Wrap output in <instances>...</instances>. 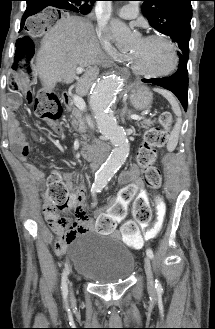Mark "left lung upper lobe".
Wrapping results in <instances>:
<instances>
[{
    "instance_id": "left-lung-upper-lobe-1",
    "label": "left lung upper lobe",
    "mask_w": 215,
    "mask_h": 329,
    "mask_svg": "<svg viewBox=\"0 0 215 329\" xmlns=\"http://www.w3.org/2000/svg\"><path fill=\"white\" fill-rule=\"evenodd\" d=\"M143 12L150 25L169 36L180 52L179 58L189 56L192 0H142Z\"/></svg>"
}]
</instances>
